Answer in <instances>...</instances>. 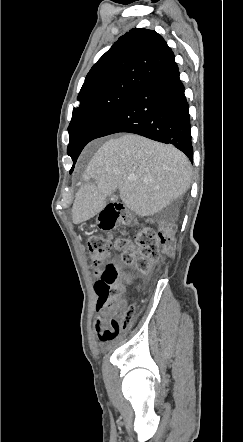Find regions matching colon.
I'll return each instance as SVG.
<instances>
[{
	"label": "colon",
	"mask_w": 243,
	"mask_h": 442,
	"mask_svg": "<svg viewBox=\"0 0 243 442\" xmlns=\"http://www.w3.org/2000/svg\"><path fill=\"white\" fill-rule=\"evenodd\" d=\"M133 218L123 204L117 200H110L100 212L96 225L104 234L92 235L88 240L93 274L96 278L94 290L97 294V309L105 306L114 309L109 329L101 336V340L115 339L121 331L127 330L135 316L134 305H128L119 311L120 295L124 282L130 283L133 274L128 273L122 279L120 271L110 258V250L114 246L121 254V261L125 265H133L136 270L147 275L151 265L162 255H171L175 249V238L171 229L161 226L159 230L151 227L142 229L135 236V241L122 236L113 239L110 232L117 226H128Z\"/></svg>",
	"instance_id": "colon-1"
}]
</instances>
